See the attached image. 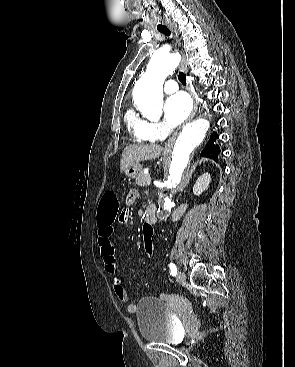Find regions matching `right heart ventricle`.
I'll return each mask as SVG.
<instances>
[{
  "instance_id": "obj_1",
  "label": "right heart ventricle",
  "mask_w": 295,
  "mask_h": 367,
  "mask_svg": "<svg viewBox=\"0 0 295 367\" xmlns=\"http://www.w3.org/2000/svg\"><path fill=\"white\" fill-rule=\"evenodd\" d=\"M124 120L128 131L135 141L147 143L155 140L149 131V122L140 117L133 109H128Z\"/></svg>"
}]
</instances>
